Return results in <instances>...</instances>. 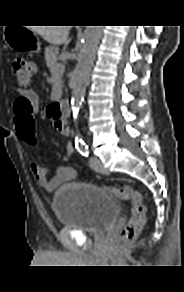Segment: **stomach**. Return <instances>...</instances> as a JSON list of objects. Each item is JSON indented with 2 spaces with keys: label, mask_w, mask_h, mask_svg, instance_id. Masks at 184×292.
Listing matches in <instances>:
<instances>
[{
  "label": "stomach",
  "mask_w": 184,
  "mask_h": 292,
  "mask_svg": "<svg viewBox=\"0 0 184 292\" xmlns=\"http://www.w3.org/2000/svg\"><path fill=\"white\" fill-rule=\"evenodd\" d=\"M7 45L18 53L40 51V43L35 33L26 27L8 26L4 32Z\"/></svg>",
  "instance_id": "stomach-1"
}]
</instances>
